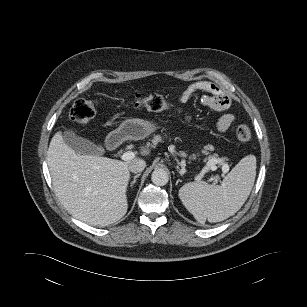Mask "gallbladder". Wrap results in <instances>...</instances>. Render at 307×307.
<instances>
[{"instance_id": "1", "label": "gallbladder", "mask_w": 307, "mask_h": 307, "mask_svg": "<svg viewBox=\"0 0 307 307\" xmlns=\"http://www.w3.org/2000/svg\"><path fill=\"white\" fill-rule=\"evenodd\" d=\"M64 142L76 153L83 155H102L104 148L93 142L76 135L73 131L67 130L63 133Z\"/></svg>"}]
</instances>
